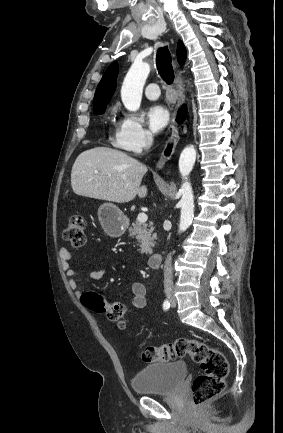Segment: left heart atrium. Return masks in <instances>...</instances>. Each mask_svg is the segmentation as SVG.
<instances>
[{
  "mask_svg": "<svg viewBox=\"0 0 283 433\" xmlns=\"http://www.w3.org/2000/svg\"><path fill=\"white\" fill-rule=\"evenodd\" d=\"M169 120L168 111L162 106H153L148 111V125L153 133L161 132Z\"/></svg>",
  "mask_w": 283,
  "mask_h": 433,
  "instance_id": "obj_1",
  "label": "left heart atrium"
}]
</instances>
